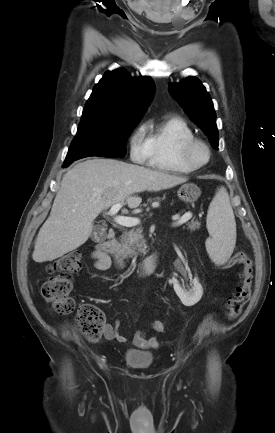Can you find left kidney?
<instances>
[{
    "instance_id": "5707ae66",
    "label": "left kidney",
    "mask_w": 275,
    "mask_h": 433,
    "mask_svg": "<svg viewBox=\"0 0 275 433\" xmlns=\"http://www.w3.org/2000/svg\"><path fill=\"white\" fill-rule=\"evenodd\" d=\"M172 283L177 296L185 306H193L200 301L203 295V288L197 277L194 278L192 282L193 287L190 290L183 289L176 279H173Z\"/></svg>"
}]
</instances>
